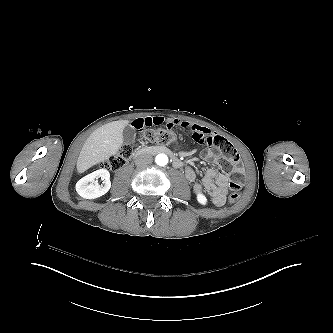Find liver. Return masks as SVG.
<instances>
[{"mask_svg": "<svg viewBox=\"0 0 333 333\" xmlns=\"http://www.w3.org/2000/svg\"><path fill=\"white\" fill-rule=\"evenodd\" d=\"M131 122L132 120L112 121L94 130L79 153L77 173L83 174L91 167L115 156L124 143L123 129Z\"/></svg>", "mask_w": 333, "mask_h": 333, "instance_id": "6515ba94", "label": "liver"}]
</instances>
